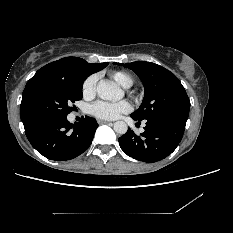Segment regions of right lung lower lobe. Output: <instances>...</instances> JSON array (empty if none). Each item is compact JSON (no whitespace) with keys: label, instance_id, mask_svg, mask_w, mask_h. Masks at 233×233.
Here are the masks:
<instances>
[{"label":"right lung lower lobe","instance_id":"right-lung-lower-lobe-1","mask_svg":"<svg viewBox=\"0 0 233 233\" xmlns=\"http://www.w3.org/2000/svg\"><path fill=\"white\" fill-rule=\"evenodd\" d=\"M98 127L96 119L86 116L71 124L67 117L49 118L25 129L31 145L44 157L65 161L85 152Z\"/></svg>","mask_w":233,"mask_h":233}]
</instances>
